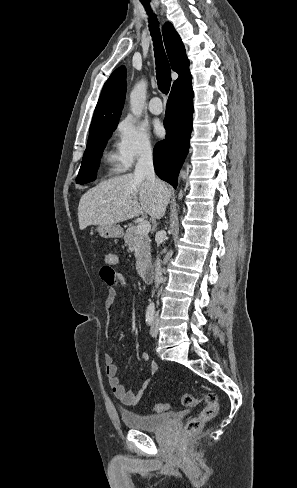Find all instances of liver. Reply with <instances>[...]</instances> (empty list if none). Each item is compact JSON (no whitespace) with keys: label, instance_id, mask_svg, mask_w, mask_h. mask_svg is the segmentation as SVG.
<instances>
[{"label":"liver","instance_id":"1","mask_svg":"<svg viewBox=\"0 0 297 488\" xmlns=\"http://www.w3.org/2000/svg\"><path fill=\"white\" fill-rule=\"evenodd\" d=\"M162 188L134 174L117 176L85 192L78 206L80 230L90 225H113L144 212L161 219L170 200L171 190Z\"/></svg>","mask_w":297,"mask_h":488}]
</instances>
